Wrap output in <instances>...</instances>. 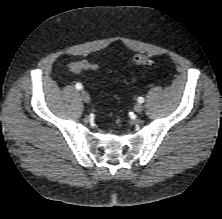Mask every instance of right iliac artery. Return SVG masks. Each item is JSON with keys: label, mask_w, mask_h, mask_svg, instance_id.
<instances>
[{"label": "right iliac artery", "mask_w": 222, "mask_h": 219, "mask_svg": "<svg viewBox=\"0 0 222 219\" xmlns=\"http://www.w3.org/2000/svg\"><path fill=\"white\" fill-rule=\"evenodd\" d=\"M75 87H76V89H78V90H81V89L83 88V86H82L81 83H77V84L75 85Z\"/></svg>", "instance_id": "82829eb1"}]
</instances>
